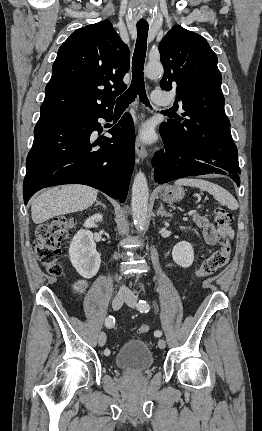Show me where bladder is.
I'll list each match as a JSON object with an SVG mask.
<instances>
[{
    "label": "bladder",
    "instance_id": "1",
    "mask_svg": "<svg viewBox=\"0 0 262 431\" xmlns=\"http://www.w3.org/2000/svg\"><path fill=\"white\" fill-rule=\"evenodd\" d=\"M117 366L129 373H141L153 365V354L142 339L130 340L115 355Z\"/></svg>",
    "mask_w": 262,
    "mask_h": 431
}]
</instances>
